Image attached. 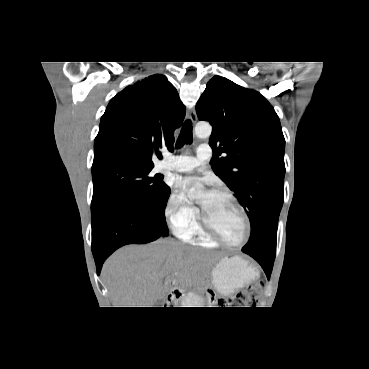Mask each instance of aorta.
Wrapping results in <instances>:
<instances>
[{"mask_svg": "<svg viewBox=\"0 0 369 369\" xmlns=\"http://www.w3.org/2000/svg\"><path fill=\"white\" fill-rule=\"evenodd\" d=\"M212 127L209 123H198L195 126V135L198 138H207L211 135ZM201 194V190H195L192 192V195L198 196Z\"/></svg>", "mask_w": 369, "mask_h": 369, "instance_id": "762f6f07", "label": "aorta"}]
</instances>
